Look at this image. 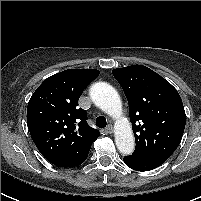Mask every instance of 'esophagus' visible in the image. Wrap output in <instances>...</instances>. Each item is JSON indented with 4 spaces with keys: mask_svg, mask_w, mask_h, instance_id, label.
I'll return each mask as SVG.
<instances>
[{
    "mask_svg": "<svg viewBox=\"0 0 201 201\" xmlns=\"http://www.w3.org/2000/svg\"><path fill=\"white\" fill-rule=\"evenodd\" d=\"M105 131L109 134H111L113 132V126L112 125H108L105 129Z\"/></svg>",
    "mask_w": 201,
    "mask_h": 201,
    "instance_id": "esophagus-1",
    "label": "esophagus"
}]
</instances>
